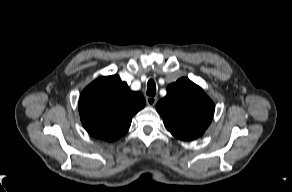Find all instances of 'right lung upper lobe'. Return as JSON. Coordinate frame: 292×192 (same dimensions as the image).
Here are the masks:
<instances>
[{
    "label": "right lung upper lobe",
    "instance_id": "obj_1",
    "mask_svg": "<svg viewBox=\"0 0 292 192\" xmlns=\"http://www.w3.org/2000/svg\"><path fill=\"white\" fill-rule=\"evenodd\" d=\"M144 106L142 93L131 91L118 75L93 81L82 91L78 103L84 128L90 135L109 142L128 131L132 117Z\"/></svg>",
    "mask_w": 292,
    "mask_h": 192
}]
</instances>
